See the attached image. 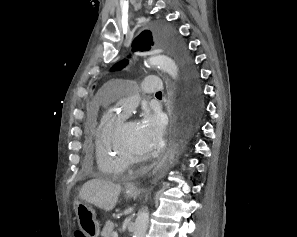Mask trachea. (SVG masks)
Wrapping results in <instances>:
<instances>
[{"mask_svg": "<svg viewBox=\"0 0 297 237\" xmlns=\"http://www.w3.org/2000/svg\"><path fill=\"white\" fill-rule=\"evenodd\" d=\"M161 94H162V92H157V93H156V95H161Z\"/></svg>", "mask_w": 297, "mask_h": 237, "instance_id": "1", "label": "trachea"}]
</instances>
